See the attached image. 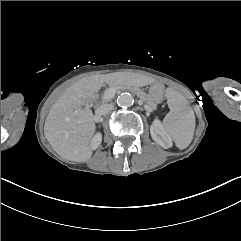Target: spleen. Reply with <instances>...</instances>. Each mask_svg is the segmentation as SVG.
I'll list each match as a JSON object with an SVG mask.
<instances>
[{
  "label": "spleen",
  "mask_w": 241,
  "mask_h": 241,
  "mask_svg": "<svg viewBox=\"0 0 241 241\" xmlns=\"http://www.w3.org/2000/svg\"><path fill=\"white\" fill-rule=\"evenodd\" d=\"M170 112L162 121L165 132L171 137L179 150L187 148L195 131V115L186 99L169 87L166 90Z\"/></svg>",
  "instance_id": "1"
}]
</instances>
